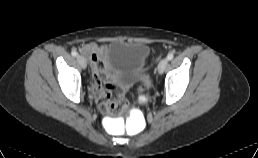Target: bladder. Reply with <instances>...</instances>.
I'll return each instance as SVG.
<instances>
[{
    "label": "bladder",
    "mask_w": 258,
    "mask_h": 158,
    "mask_svg": "<svg viewBox=\"0 0 258 158\" xmlns=\"http://www.w3.org/2000/svg\"><path fill=\"white\" fill-rule=\"evenodd\" d=\"M149 55L145 43L115 41L108 45L105 60L121 84L132 86L146 77Z\"/></svg>",
    "instance_id": "bladder-1"
}]
</instances>
